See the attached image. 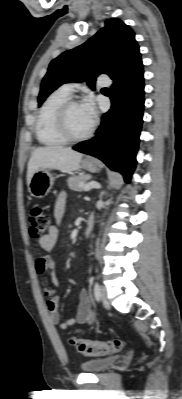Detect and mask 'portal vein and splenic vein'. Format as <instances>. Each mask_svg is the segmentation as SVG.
<instances>
[{"label":"portal vein and splenic vein","instance_id":"1","mask_svg":"<svg viewBox=\"0 0 182 399\" xmlns=\"http://www.w3.org/2000/svg\"><path fill=\"white\" fill-rule=\"evenodd\" d=\"M83 187H84V190H85V191H89V190L92 189V188H97V189H99V188H100V184L97 183V182H95V181H91V182H89V183L83 185Z\"/></svg>","mask_w":182,"mask_h":399}]
</instances>
